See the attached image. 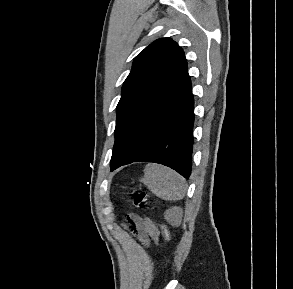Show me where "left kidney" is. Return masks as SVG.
Listing matches in <instances>:
<instances>
[{
	"mask_svg": "<svg viewBox=\"0 0 293 289\" xmlns=\"http://www.w3.org/2000/svg\"><path fill=\"white\" fill-rule=\"evenodd\" d=\"M164 217L169 223L176 225L180 222L182 217V209L179 207H172L166 210Z\"/></svg>",
	"mask_w": 293,
	"mask_h": 289,
	"instance_id": "1",
	"label": "left kidney"
}]
</instances>
